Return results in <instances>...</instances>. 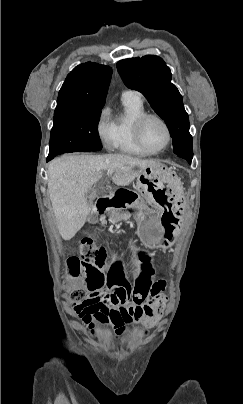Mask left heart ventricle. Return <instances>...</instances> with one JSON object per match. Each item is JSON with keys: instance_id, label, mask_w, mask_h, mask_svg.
<instances>
[{"instance_id": "b2bd125f", "label": "left heart ventricle", "mask_w": 243, "mask_h": 404, "mask_svg": "<svg viewBox=\"0 0 243 404\" xmlns=\"http://www.w3.org/2000/svg\"><path fill=\"white\" fill-rule=\"evenodd\" d=\"M141 133L144 141L154 149L164 147L168 140L166 127L155 117H151L144 122Z\"/></svg>"}]
</instances>
